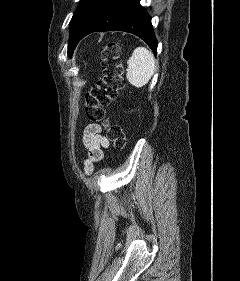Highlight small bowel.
<instances>
[{
  "label": "small bowel",
  "mask_w": 240,
  "mask_h": 281,
  "mask_svg": "<svg viewBox=\"0 0 240 281\" xmlns=\"http://www.w3.org/2000/svg\"><path fill=\"white\" fill-rule=\"evenodd\" d=\"M83 144L87 151V158L84 161V170L87 175L93 172L94 164L103 159V150L108 148L109 139L103 135L99 124L90 123L85 127Z\"/></svg>",
  "instance_id": "c3829d8e"
}]
</instances>
